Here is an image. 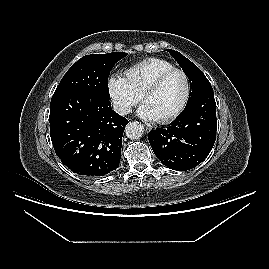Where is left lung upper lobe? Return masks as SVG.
Returning a JSON list of instances; mask_svg holds the SVG:
<instances>
[{"instance_id":"obj_1","label":"left lung upper lobe","mask_w":269,"mask_h":269,"mask_svg":"<svg viewBox=\"0 0 269 269\" xmlns=\"http://www.w3.org/2000/svg\"><path fill=\"white\" fill-rule=\"evenodd\" d=\"M166 51L174 57L190 80V97L188 103L204 92L213 90L204 73L195 64L175 50L167 49Z\"/></svg>"}]
</instances>
